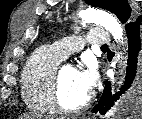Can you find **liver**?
I'll return each mask as SVG.
<instances>
[{
    "instance_id": "obj_1",
    "label": "liver",
    "mask_w": 142,
    "mask_h": 119,
    "mask_svg": "<svg viewBox=\"0 0 142 119\" xmlns=\"http://www.w3.org/2000/svg\"><path fill=\"white\" fill-rule=\"evenodd\" d=\"M24 118L25 119H30V116L29 115H24ZM36 118H38V117H36V116H33V119H36ZM42 117H39V119H41Z\"/></svg>"
}]
</instances>
